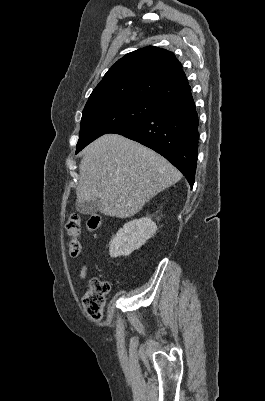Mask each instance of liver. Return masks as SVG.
<instances>
[{
    "label": "liver",
    "mask_w": 265,
    "mask_h": 401,
    "mask_svg": "<svg viewBox=\"0 0 265 401\" xmlns=\"http://www.w3.org/2000/svg\"><path fill=\"white\" fill-rule=\"evenodd\" d=\"M77 201L100 198V213L127 219L182 174L166 158L121 134H103L84 148Z\"/></svg>",
    "instance_id": "1"
}]
</instances>
